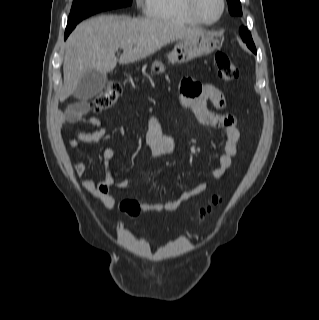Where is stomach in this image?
<instances>
[{
	"label": "stomach",
	"instance_id": "0dacf381",
	"mask_svg": "<svg viewBox=\"0 0 319 320\" xmlns=\"http://www.w3.org/2000/svg\"><path fill=\"white\" fill-rule=\"evenodd\" d=\"M219 40L208 33L186 37L177 41L168 59L172 64L186 63L194 58L209 55L218 48ZM165 71L162 62L155 61L151 65V73L160 75Z\"/></svg>",
	"mask_w": 319,
	"mask_h": 320
}]
</instances>
